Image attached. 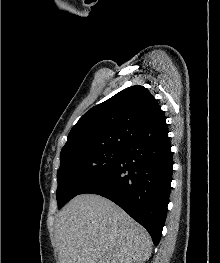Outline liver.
Here are the masks:
<instances>
[{"label":"liver","mask_w":220,"mask_h":263,"mask_svg":"<svg viewBox=\"0 0 220 263\" xmlns=\"http://www.w3.org/2000/svg\"><path fill=\"white\" fill-rule=\"evenodd\" d=\"M59 263H132L152 253L149 233L112 201L82 194L55 218Z\"/></svg>","instance_id":"obj_1"}]
</instances>
